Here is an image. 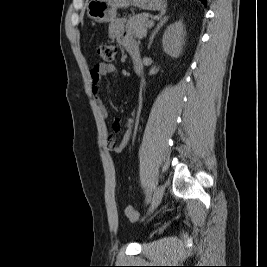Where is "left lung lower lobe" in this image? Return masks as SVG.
Listing matches in <instances>:
<instances>
[{
  "instance_id": "obj_1",
  "label": "left lung lower lobe",
  "mask_w": 267,
  "mask_h": 267,
  "mask_svg": "<svg viewBox=\"0 0 267 267\" xmlns=\"http://www.w3.org/2000/svg\"><path fill=\"white\" fill-rule=\"evenodd\" d=\"M204 5H206V0H200Z\"/></svg>"
}]
</instances>
